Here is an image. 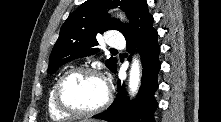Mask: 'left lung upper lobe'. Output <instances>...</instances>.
I'll list each match as a JSON object with an SVG mask.
<instances>
[{
  "instance_id": "obj_1",
  "label": "left lung upper lobe",
  "mask_w": 221,
  "mask_h": 122,
  "mask_svg": "<svg viewBox=\"0 0 221 122\" xmlns=\"http://www.w3.org/2000/svg\"><path fill=\"white\" fill-rule=\"evenodd\" d=\"M138 0H87L69 15L60 29V35L49 57L48 73H54L60 66L73 59L98 52L96 35L107 30L124 33L129 25L110 18L108 9L121 8L132 18ZM106 66L115 72L117 59L106 60Z\"/></svg>"
}]
</instances>
